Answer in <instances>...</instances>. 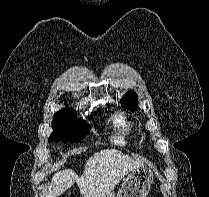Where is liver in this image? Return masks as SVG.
<instances>
[{"mask_svg":"<svg viewBox=\"0 0 209 197\" xmlns=\"http://www.w3.org/2000/svg\"><path fill=\"white\" fill-rule=\"evenodd\" d=\"M143 166L116 149L94 153L85 163L84 172L78 176L71 169H64L52 176L46 197H58L75 182L84 197H106L132 170Z\"/></svg>","mask_w":209,"mask_h":197,"instance_id":"liver-1","label":"liver"}]
</instances>
